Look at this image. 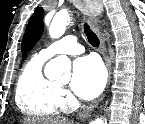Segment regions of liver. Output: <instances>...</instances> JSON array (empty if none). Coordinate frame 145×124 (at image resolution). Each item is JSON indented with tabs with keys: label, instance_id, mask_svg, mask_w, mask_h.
I'll list each match as a JSON object with an SVG mask.
<instances>
[{
	"label": "liver",
	"instance_id": "liver-1",
	"mask_svg": "<svg viewBox=\"0 0 145 124\" xmlns=\"http://www.w3.org/2000/svg\"><path fill=\"white\" fill-rule=\"evenodd\" d=\"M22 124H72L66 118H39V117H26Z\"/></svg>",
	"mask_w": 145,
	"mask_h": 124
}]
</instances>
